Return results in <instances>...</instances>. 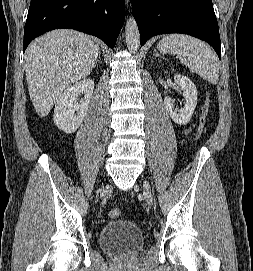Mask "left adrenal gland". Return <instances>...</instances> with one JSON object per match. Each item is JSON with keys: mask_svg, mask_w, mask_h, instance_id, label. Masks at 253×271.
<instances>
[{"mask_svg": "<svg viewBox=\"0 0 253 271\" xmlns=\"http://www.w3.org/2000/svg\"><path fill=\"white\" fill-rule=\"evenodd\" d=\"M154 52H155L154 56H160L156 49H154Z\"/></svg>", "mask_w": 253, "mask_h": 271, "instance_id": "1", "label": "left adrenal gland"}]
</instances>
